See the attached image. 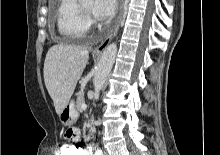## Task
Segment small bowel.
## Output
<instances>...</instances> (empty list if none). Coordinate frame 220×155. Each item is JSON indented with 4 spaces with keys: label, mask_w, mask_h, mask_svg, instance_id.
I'll list each match as a JSON object with an SVG mask.
<instances>
[{
    "label": "small bowel",
    "mask_w": 220,
    "mask_h": 155,
    "mask_svg": "<svg viewBox=\"0 0 220 155\" xmlns=\"http://www.w3.org/2000/svg\"><path fill=\"white\" fill-rule=\"evenodd\" d=\"M64 133L65 141H78L80 138V130H77V126H66ZM62 146H75L70 144H64ZM83 150V155H91L90 148H81Z\"/></svg>",
    "instance_id": "c3829d8e"
}]
</instances>
